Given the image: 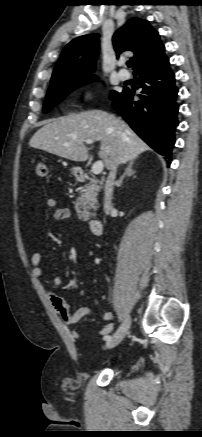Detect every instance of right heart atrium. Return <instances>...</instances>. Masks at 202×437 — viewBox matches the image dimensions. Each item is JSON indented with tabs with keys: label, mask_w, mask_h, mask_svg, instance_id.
<instances>
[{
	"label": "right heart atrium",
	"mask_w": 202,
	"mask_h": 437,
	"mask_svg": "<svg viewBox=\"0 0 202 437\" xmlns=\"http://www.w3.org/2000/svg\"><path fill=\"white\" fill-rule=\"evenodd\" d=\"M94 92L90 89H86L81 94V99L84 103H90L94 100Z\"/></svg>",
	"instance_id": "obj_1"
}]
</instances>
